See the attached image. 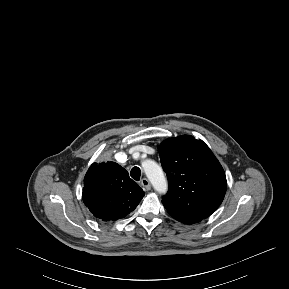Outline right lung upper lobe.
Wrapping results in <instances>:
<instances>
[{"label":"right lung upper lobe","mask_w":289,"mask_h":289,"mask_svg":"<svg viewBox=\"0 0 289 289\" xmlns=\"http://www.w3.org/2000/svg\"><path fill=\"white\" fill-rule=\"evenodd\" d=\"M144 191L114 162L93 163L84 178L83 201L103 221H115L133 211Z\"/></svg>","instance_id":"obj_1"}]
</instances>
